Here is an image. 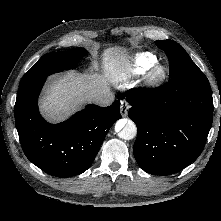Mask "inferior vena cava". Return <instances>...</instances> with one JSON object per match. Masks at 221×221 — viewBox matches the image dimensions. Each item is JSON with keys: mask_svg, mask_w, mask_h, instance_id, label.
<instances>
[{"mask_svg": "<svg viewBox=\"0 0 221 221\" xmlns=\"http://www.w3.org/2000/svg\"><path fill=\"white\" fill-rule=\"evenodd\" d=\"M115 95L112 92L94 98V102L99 106H109L113 103Z\"/></svg>", "mask_w": 221, "mask_h": 221, "instance_id": "1", "label": "inferior vena cava"}]
</instances>
